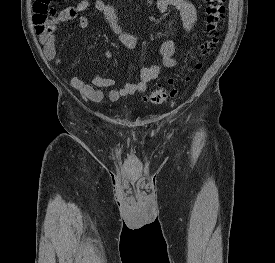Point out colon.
<instances>
[{
    "label": "colon",
    "mask_w": 275,
    "mask_h": 263,
    "mask_svg": "<svg viewBox=\"0 0 275 263\" xmlns=\"http://www.w3.org/2000/svg\"><path fill=\"white\" fill-rule=\"evenodd\" d=\"M205 36L201 44V55L206 57L214 50L220 30L225 21V0H205ZM55 14L51 6V0H36L33 5V23L37 35L45 34L51 25V19ZM202 68L199 59L194 69L199 71ZM183 82H188L190 76L183 77ZM173 82L168 85L158 84L147 95V99L153 104H163L175 95L176 90L172 87Z\"/></svg>",
    "instance_id": "5ec220e1"
}]
</instances>
